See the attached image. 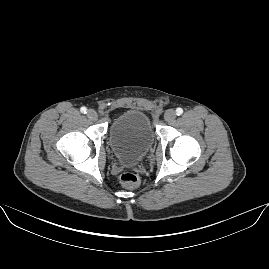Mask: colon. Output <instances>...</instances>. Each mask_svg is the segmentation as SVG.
<instances>
[{"label": "colon", "mask_w": 269, "mask_h": 269, "mask_svg": "<svg viewBox=\"0 0 269 269\" xmlns=\"http://www.w3.org/2000/svg\"><path fill=\"white\" fill-rule=\"evenodd\" d=\"M120 182L126 188L133 189V190L140 188L142 184L140 177H138L137 174L133 172H129V171L123 172L120 175Z\"/></svg>", "instance_id": "colon-1"}]
</instances>
